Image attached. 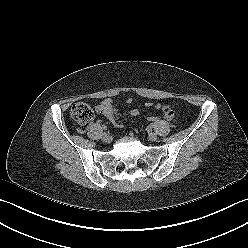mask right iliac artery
I'll return each instance as SVG.
<instances>
[{"label":"right iliac artery","instance_id":"82829eb1","mask_svg":"<svg viewBox=\"0 0 248 248\" xmlns=\"http://www.w3.org/2000/svg\"><path fill=\"white\" fill-rule=\"evenodd\" d=\"M102 129H103L104 131H106V130H107V126H106V125H103V126H102Z\"/></svg>","mask_w":248,"mask_h":248}]
</instances>
